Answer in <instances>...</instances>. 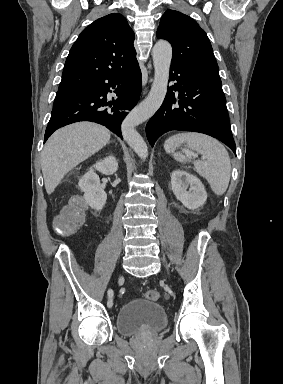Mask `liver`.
Segmentation results:
<instances>
[{
  "instance_id": "liver-1",
  "label": "liver",
  "mask_w": 283,
  "mask_h": 384,
  "mask_svg": "<svg viewBox=\"0 0 283 384\" xmlns=\"http://www.w3.org/2000/svg\"><path fill=\"white\" fill-rule=\"evenodd\" d=\"M110 136L107 128L91 122H78L54 132L41 154L47 194L54 192L70 170L109 144Z\"/></svg>"
}]
</instances>
